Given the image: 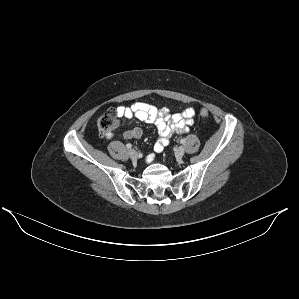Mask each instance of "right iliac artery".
Segmentation results:
<instances>
[{
	"instance_id": "obj_1",
	"label": "right iliac artery",
	"mask_w": 299,
	"mask_h": 299,
	"mask_svg": "<svg viewBox=\"0 0 299 299\" xmlns=\"http://www.w3.org/2000/svg\"><path fill=\"white\" fill-rule=\"evenodd\" d=\"M126 147H127L128 149H131V148H132V144H130V143L126 144Z\"/></svg>"
}]
</instances>
